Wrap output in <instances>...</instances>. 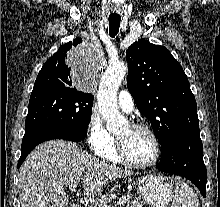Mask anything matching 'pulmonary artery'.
<instances>
[{
  "instance_id": "1",
  "label": "pulmonary artery",
  "mask_w": 220,
  "mask_h": 207,
  "mask_svg": "<svg viewBox=\"0 0 220 207\" xmlns=\"http://www.w3.org/2000/svg\"><path fill=\"white\" fill-rule=\"evenodd\" d=\"M118 104L125 112H131L134 108V100L127 90H121L118 94Z\"/></svg>"
}]
</instances>
